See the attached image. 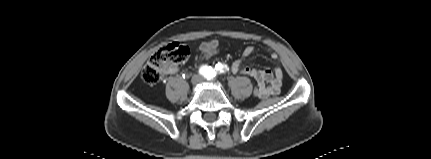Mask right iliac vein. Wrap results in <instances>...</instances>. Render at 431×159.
<instances>
[{
    "label": "right iliac vein",
    "mask_w": 431,
    "mask_h": 159,
    "mask_svg": "<svg viewBox=\"0 0 431 159\" xmlns=\"http://www.w3.org/2000/svg\"><path fill=\"white\" fill-rule=\"evenodd\" d=\"M201 82V76L200 75H194L192 78H191V83L193 84V85H197L198 83H200Z\"/></svg>",
    "instance_id": "right-iliac-vein-1"
}]
</instances>
